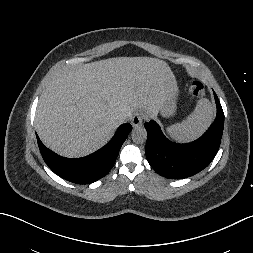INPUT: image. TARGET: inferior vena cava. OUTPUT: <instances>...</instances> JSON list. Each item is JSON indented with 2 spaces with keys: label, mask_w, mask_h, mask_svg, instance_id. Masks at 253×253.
<instances>
[{
  "label": "inferior vena cava",
  "mask_w": 253,
  "mask_h": 253,
  "mask_svg": "<svg viewBox=\"0 0 253 253\" xmlns=\"http://www.w3.org/2000/svg\"><path fill=\"white\" fill-rule=\"evenodd\" d=\"M132 118V114L131 113H127V114H124V115H121L120 118L118 120H116V128H121V126L123 124H125L126 121H129L130 119Z\"/></svg>",
  "instance_id": "inferior-vena-cava-1"
}]
</instances>
